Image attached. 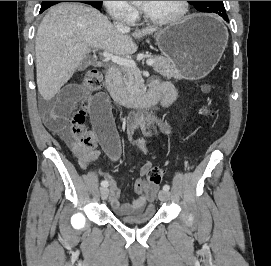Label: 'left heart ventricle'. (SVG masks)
<instances>
[{
    "instance_id": "b2bd125f",
    "label": "left heart ventricle",
    "mask_w": 271,
    "mask_h": 266,
    "mask_svg": "<svg viewBox=\"0 0 271 266\" xmlns=\"http://www.w3.org/2000/svg\"><path fill=\"white\" fill-rule=\"evenodd\" d=\"M180 7V1H147L143 8L154 17H168L176 14Z\"/></svg>"
}]
</instances>
